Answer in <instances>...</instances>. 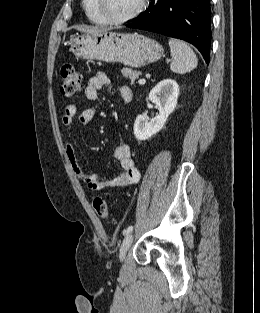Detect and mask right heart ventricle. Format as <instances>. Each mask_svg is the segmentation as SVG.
<instances>
[{"label":"right heart ventricle","mask_w":260,"mask_h":313,"mask_svg":"<svg viewBox=\"0 0 260 313\" xmlns=\"http://www.w3.org/2000/svg\"><path fill=\"white\" fill-rule=\"evenodd\" d=\"M82 7L89 21L95 25H105V21L98 14L95 0H82Z\"/></svg>","instance_id":"e07e8e85"}]
</instances>
